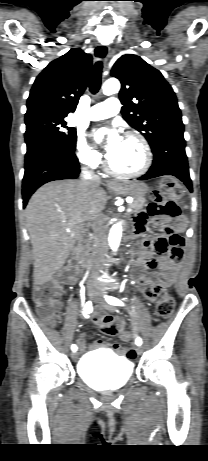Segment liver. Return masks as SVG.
Here are the masks:
<instances>
[{
  "label": "liver",
  "mask_w": 208,
  "mask_h": 461,
  "mask_svg": "<svg viewBox=\"0 0 208 461\" xmlns=\"http://www.w3.org/2000/svg\"><path fill=\"white\" fill-rule=\"evenodd\" d=\"M107 200L100 183L87 180L49 182L32 195L25 214L36 284L45 283L61 269L86 225L101 213Z\"/></svg>",
  "instance_id": "liver-1"
}]
</instances>
